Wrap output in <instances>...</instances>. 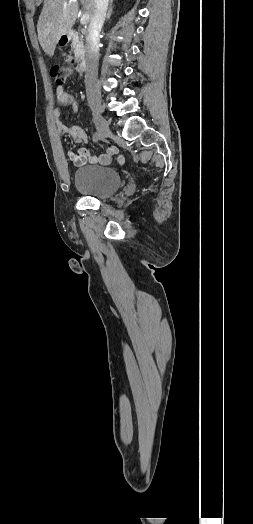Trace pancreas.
Here are the masks:
<instances>
[{"label": "pancreas", "instance_id": "pancreas-1", "mask_svg": "<svg viewBox=\"0 0 253 524\" xmlns=\"http://www.w3.org/2000/svg\"><path fill=\"white\" fill-rule=\"evenodd\" d=\"M71 47L75 53V56L82 59L84 56V44L82 38L75 34L72 39Z\"/></svg>", "mask_w": 253, "mask_h": 524}]
</instances>
